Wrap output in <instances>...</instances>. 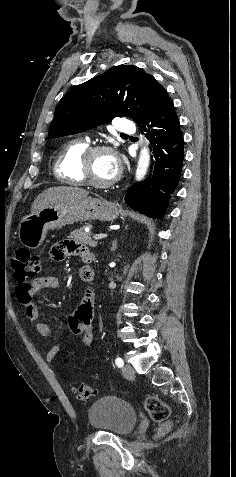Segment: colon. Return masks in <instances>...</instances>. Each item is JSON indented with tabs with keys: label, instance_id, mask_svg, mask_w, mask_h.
Segmentation results:
<instances>
[{
	"label": "colon",
	"instance_id": "5ec220e1",
	"mask_svg": "<svg viewBox=\"0 0 236 477\" xmlns=\"http://www.w3.org/2000/svg\"><path fill=\"white\" fill-rule=\"evenodd\" d=\"M13 276L16 283V294L28 292L32 289V279L39 273L40 259L33 255L27 248H20L16 251L13 261ZM76 394L81 400H88L93 395V389L84 383L76 388ZM145 407L151 417L158 422H164L162 431L170 428V423L166 420L169 417L170 409L166 403L155 396H148L145 400Z\"/></svg>",
	"mask_w": 236,
	"mask_h": 477
}]
</instances>
